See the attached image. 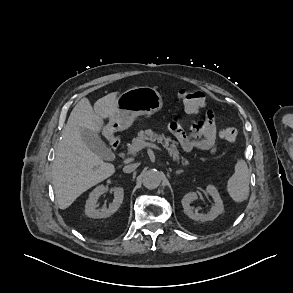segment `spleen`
Listing matches in <instances>:
<instances>
[{
	"mask_svg": "<svg viewBox=\"0 0 293 293\" xmlns=\"http://www.w3.org/2000/svg\"><path fill=\"white\" fill-rule=\"evenodd\" d=\"M249 170L244 160H238L235 165V173L227 182V191L230 197L237 203H241L249 195Z\"/></svg>",
	"mask_w": 293,
	"mask_h": 293,
	"instance_id": "spleen-1",
	"label": "spleen"
}]
</instances>
